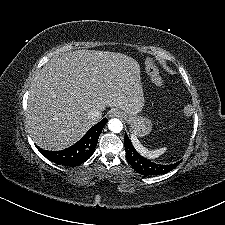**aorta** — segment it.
I'll return each instance as SVG.
<instances>
[{
	"label": "aorta",
	"instance_id": "1",
	"mask_svg": "<svg viewBox=\"0 0 225 225\" xmlns=\"http://www.w3.org/2000/svg\"><path fill=\"white\" fill-rule=\"evenodd\" d=\"M108 128L113 133H119L123 129V124L119 119L113 118L108 121Z\"/></svg>",
	"mask_w": 225,
	"mask_h": 225
}]
</instances>
